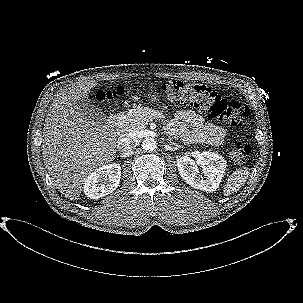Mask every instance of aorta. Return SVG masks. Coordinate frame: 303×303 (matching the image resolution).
Returning <instances> with one entry per match:
<instances>
[{
  "instance_id": "762f6f07",
  "label": "aorta",
  "mask_w": 303,
  "mask_h": 303,
  "mask_svg": "<svg viewBox=\"0 0 303 303\" xmlns=\"http://www.w3.org/2000/svg\"><path fill=\"white\" fill-rule=\"evenodd\" d=\"M157 147V142L152 137H146L142 141V148L146 151H153Z\"/></svg>"
}]
</instances>
